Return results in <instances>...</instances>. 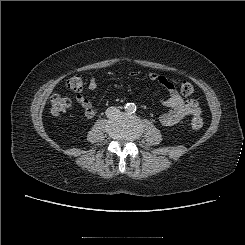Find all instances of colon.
Here are the masks:
<instances>
[{
  "label": "colon",
  "mask_w": 245,
  "mask_h": 245,
  "mask_svg": "<svg viewBox=\"0 0 245 245\" xmlns=\"http://www.w3.org/2000/svg\"><path fill=\"white\" fill-rule=\"evenodd\" d=\"M67 87L74 92H80L83 89V80L81 76L74 75L67 80ZM181 93L185 96L193 94L194 87L189 82H183L180 86ZM71 100L61 95H53L50 99V109L53 114H62L69 110ZM203 126V119L199 115H195L190 122L192 130L197 131Z\"/></svg>",
  "instance_id": "colon-1"
}]
</instances>
